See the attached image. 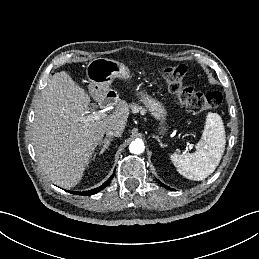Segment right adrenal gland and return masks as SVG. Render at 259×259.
I'll return each instance as SVG.
<instances>
[{
	"label": "right adrenal gland",
	"instance_id": "2a0ac1e0",
	"mask_svg": "<svg viewBox=\"0 0 259 259\" xmlns=\"http://www.w3.org/2000/svg\"><path fill=\"white\" fill-rule=\"evenodd\" d=\"M113 138H114L113 136L108 137V138H105L103 141L100 142V144H99L100 151L98 152L99 155L103 154L105 152V150L108 149V147L110 146Z\"/></svg>",
	"mask_w": 259,
	"mask_h": 259
}]
</instances>
